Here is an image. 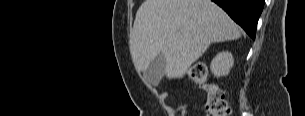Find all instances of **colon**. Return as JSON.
<instances>
[{"label": "colon", "mask_w": 305, "mask_h": 116, "mask_svg": "<svg viewBox=\"0 0 305 116\" xmlns=\"http://www.w3.org/2000/svg\"><path fill=\"white\" fill-rule=\"evenodd\" d=\"M208 68L202 63L191 65L188 76L206 92L205 110L207 116H229L231 107L224 98L221 88L208 80Z\"/></svg>", "instance_id": "colon-1"}]
</instances>
